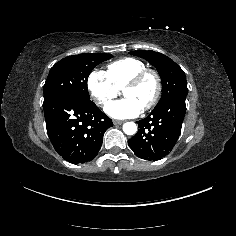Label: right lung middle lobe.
<instances>
[{"label":"right lung middle lobe","instance_id":"dd1d6c3e","mask_svg":"<svg viewBox=\"0 0 236 236\" xmlns=\"http://www.w3.org/2000/svg\"><path fill=\"white\" fill-rule=\"evenodd\" d=\"M111 54L83 53L68 56L50 70L44 84V102L56 96H67L77 101L89 102L87 80L99 63L112 58Z\"/></svg>","mask_w":236,"mask_h":236}]
</instances>
